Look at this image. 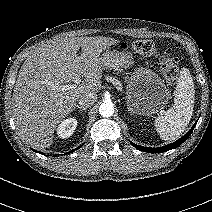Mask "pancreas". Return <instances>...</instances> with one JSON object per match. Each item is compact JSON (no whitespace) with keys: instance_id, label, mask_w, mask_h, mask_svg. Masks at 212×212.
<instances>
[{"instance_id":"cf45deb5","label":"pancreas","mask_w":212,"mask_h":212,"mask_svg":"<svg viewBox=\"0 0 212 212\" xmlns=\"http://www.w3.org/2000/svg\"><path fill=\"white\" fill-rule=\"evenodd\" d=\"M106 80L111 82L117 89L122 90V84L116 78L106 77Z\"/></svg>"}]
</instances>
